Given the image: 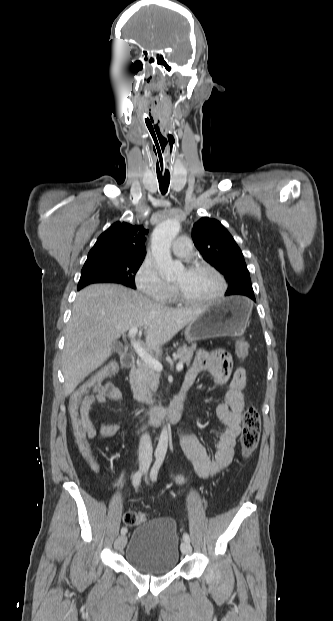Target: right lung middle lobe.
<instances>
[{
  "mask_svg": "<svg viewBox=\"0 0 333 621\" xmlns=\"http://www.w3.org/2000/svg\"><path fill=\"white\" fill-rule=\"evenodd\" d=\"M143 260L102 259L86 261L78 289L92 283H119L135 289V274Z\"/></svg>",
  "mask_w": 333,
  "mask_h": 621,
  "instance_id": "1",
  "label": "right lung middle lobe"
}]
</instances>
